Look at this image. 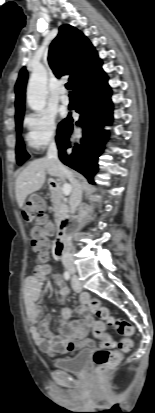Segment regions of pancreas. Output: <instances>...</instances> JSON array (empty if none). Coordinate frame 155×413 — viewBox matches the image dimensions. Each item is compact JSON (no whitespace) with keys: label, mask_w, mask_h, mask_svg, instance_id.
Instances as JSON below:
<instances>
[{"label":"pancreas","mask_w":155,"mask_h":413,"mask_svg":"<svg viewBox=\"0 0 155 413\" xmlns=\"http://www.w3.org/2000/svg\"><path fill=\"white\" fill-rule=\"evenodd\" d=\"M51 202L56 222L59 223L62 219L67 217V214L69 212L68 205L66 204L62 196L61 188H57L51 191Z\"/></svg>","instance_id":"obj_1"}]
</instances>
